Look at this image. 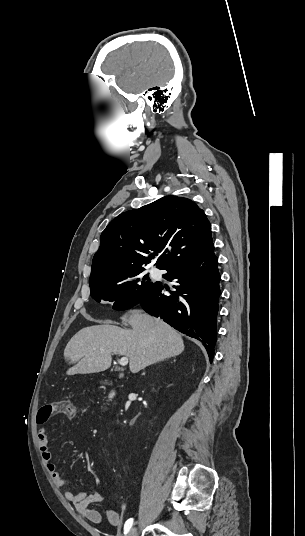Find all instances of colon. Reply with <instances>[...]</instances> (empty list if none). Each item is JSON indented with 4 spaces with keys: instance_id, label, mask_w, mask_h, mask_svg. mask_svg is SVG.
<instances>
[{
    "instance_id": "5ec220e1",
    "label": "colon",
    "mask_w": 305,
    "mask_h": 536,
    "mask_svg": "<svg viewBox=\"0 0 305 536\" xmlns=\"http://www.w3.org/2000/svg\"><path fill=\"white\" fill-rule=\"evenodd\" d=\"M54 415L73 417V404L70 401L61 400L53 403L52 405H48L43 409V411H38L36 424H45L47 422H53Z\"/></svg>"
}]
</instances>
